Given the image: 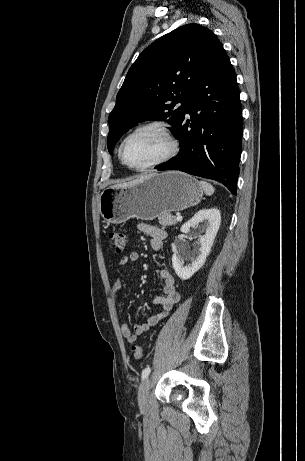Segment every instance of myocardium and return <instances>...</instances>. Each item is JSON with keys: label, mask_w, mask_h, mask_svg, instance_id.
<instances>
[{"label": "myocardium", "mask_w": 305, "mask_h": 461, "mask_svg": "<svg viewBox=\"0 0 305 461\" xmlns=\"http://www.w3.org/2000/svg\"><path fill=\"white\" fill-rule=\"evenodd\" d=\"M147 129H155V130L160 131L166 137V139L168 140L169 149L166 152V154H164L161 158H159V159H157V160H155V161H153V162H151L149 164L142 165V166L131 165L126 161L125 156H124L125 144L135 134H137L140 131L147 130ZM178 150H179V144H178V141L175 138L170 126L165 122L150 121V122H146V123H143V124L135 127L130 133H128L126 135V137L122 140V142H121V144L119 146V158H120L121 162L125 166H127L128 168L133 169V170H137V171H145V170L153 169L155 167H158V166L163 165L166 162L170 161L174 156H176V154L178 153Z\"/></svg>", "instance_id": "1"}]
</instances>
